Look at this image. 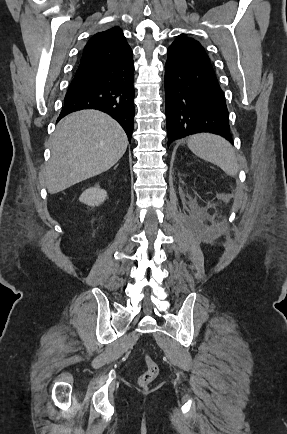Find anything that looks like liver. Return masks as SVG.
I'll return each mask as SVG.
<instances>
[{"instance_id":"liver-1","label":"liver","mask_w":287,"mask_h":434,"mask_svg":"<svg viewBox=\"0 0 287 434\" xmlns=\"http://www.w3.org/2000/svg\"><path fill=\"white\" fill-rule=\"evenodd\" d=\"M127 145L125 132L109 115L97 110L69 114L51 140V158L44 173L48 192L56 194L109 170Z\"/></svg>"}]
</instances>
